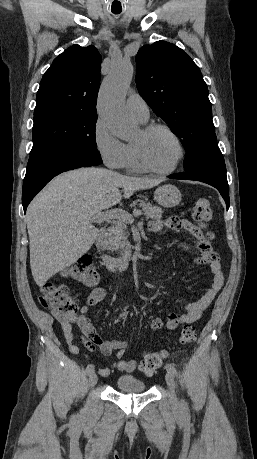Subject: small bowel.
Instances as JSON below:
<instances>
[{
  "instance_id": "small-bowel-1",
  "label": "small bowel",
  "mask_w": 257,
  "mask_h": 459,
  "mask_svg": "<svg viewBox=\"0 0 257 459\" xmlns=\"http://www.w3.org/2000/svg\"><path fill=\"white\" fill-rule=\"evenodd\" d=\"M161 229L184 230L193 236L197 240L195 250L184 244H179V247L186 251L198 254L194 261L200 265H207L212 276L210 288L198 301L187 303L185 306V312L182 314L170 313L168 315L166 327L173 330L181 325L192 324L201 317L202 313L208 308L223 287L224 276L218 253L213 249L212 245L208 241L200 238L196 226L190 221L178 218H169L167 220L160 221L155 218L149 223V230L151 232H157ZM105 296L106 291L104 288L94 287L88 295L85 304L81 307L80 313L72 320L61 321L68 349L72 354H80L79 347L73 342L72 323H75L82 333L81 339L86 348L94 351L98 347L101 353L106 356L115 351L116 360L114 361L113 366H116L121 371L133 372L138 363L133 359H124L125 350L128 345L127 341L119 339L104 341L99 336L89 318L86 316L89 308L103 301ZM163 326L164 323L159 318L153 319L150 323V328L153 331L159 330ZM99 374L103 377H107L110 374V369L101 368L99 369Z\"/></svg>"
}]
</instances>
